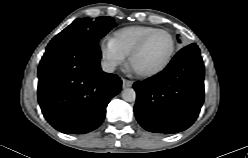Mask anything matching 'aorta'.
<instances>
[{
	"instance_id": "762f6f07",
	"label": "aorta",
	"mask_w": 248,
	"mask_h": 158,
	"mask_svg": "<svg viewBox=\"0 0 248 158\" xmlns=\"http://www.w3.org/2000/svg\"><path fill=\"white\" fill-rule=\"evenodd\" d=\"M122 98L127 102H134L136 100V92L133 88H125L122 91Z\"/></svg>"
}]
</instances>
